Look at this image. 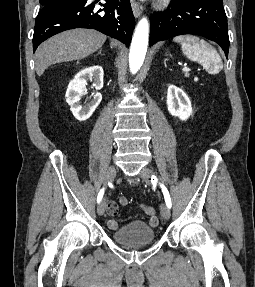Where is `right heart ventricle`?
<instances>
[{
	"instance_id": "1",
	"label": "right heart ventricle",
	"mask_w": 255,
	"mask_h": 287,
	"mask_svg": "<svg viewBox=\"0 0 255 287\" xmlns=\"http://www.w3.org/2000/svg\"><path fill=\"white\" fill-rule=\"evenodd\" d=\"M114 39H118V38H114ZM104 48H124V47H104Z\"/></svg>"
}]
</instances>
